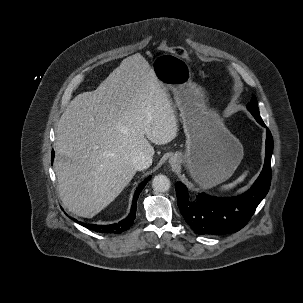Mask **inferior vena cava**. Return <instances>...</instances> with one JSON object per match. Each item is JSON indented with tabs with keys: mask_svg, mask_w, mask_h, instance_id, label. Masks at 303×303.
Here are the masks:
<instances>
[{
	"mask_svg": "<svg viewBox=\"0 0 303 303\" xmlns=\"http://www.w3.org/2000/svg\"><path fill=\"white\" fill-rule=\"evenodd\" d=\"M151 163L152 157L143 152H139L132 157V165L138 171L147 169L151 165Z\"/></svg>",
	"mask_w": 303,
	"mask_h": 303,
	"instance_id": "obj_1",
	"label": "inferior vena cava"
}]
</instances>
